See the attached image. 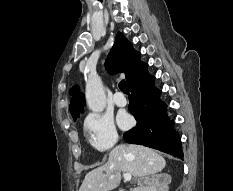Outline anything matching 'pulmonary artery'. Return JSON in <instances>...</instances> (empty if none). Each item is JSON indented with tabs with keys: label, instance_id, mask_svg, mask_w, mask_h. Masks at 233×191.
I'll use <instances>...</instances> for the list:
<instances>
[{
	"label": "pulmonary artery",
	"instance_id": "pulmonary-artery-1",
	"mask_svg": "<svg viewBox=\"0 0 233 191\" xmlns=\"http://www.w3.org/2000/svg\"><path fill=\"white\" fill-rule=\"evenodd\" d=\"M113 100L115 104L120 107H123L127 104L126 97L119 91L114 94Z\"/></svg>",
	"mask_w": 233,
	"mask_h": 191
}]
</instances>
